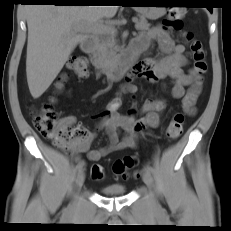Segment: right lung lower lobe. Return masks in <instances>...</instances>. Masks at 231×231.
Here are the masks:
<instances>
[{"instance_id":"98d812e1","label":"right lung lower lobe","mask_w":231,"mask_h":231,"mask_svg":"<svg viewBox=\"0 0 231 231\" xmlns=\"http://www.w3.org/2000/svg\"><path fill=\"white\" fill-rule=\"evenodd\" d=\"M29 3H51L54 5H84L83 0H25Z\"/></svg>"}]
</instances>
